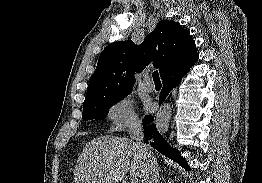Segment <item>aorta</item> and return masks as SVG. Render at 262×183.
Here are the masks:
<instances>
[{
  "mask_svg": "<svg viewBox=\"0 0 262 183\" xmlns=\"http://www.w3.org/2000/svg\"><path fill=\"white\" fill-rule=\"evenodd\" d=\"M171 118V107L170 105L164 104L157 114L156 127L159 133H165L168 130L169 122Z\"/></svg>",
  "mask_w": 262,
  "mask_h": 183,
  "instance_id": "aorta-1",
  "label": "aorta"
}]
</instances>
